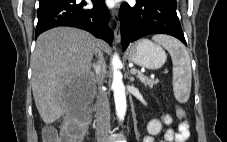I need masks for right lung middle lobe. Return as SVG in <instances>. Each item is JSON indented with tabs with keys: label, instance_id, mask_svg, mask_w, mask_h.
I'll use <instances>...</instances> for the list:
<instances>
[{
	"label": "right lung middle lobe",
	"instance_id": "dd1d6c3e",
	"mask_svg": "<svg viewBox=\"0 0 227 142\" xmlns=\"http://www.w3.org/2000/svg\"><path fill=\"white\" fill-rule=\"evenodd\" d=\"M46 1H49V0H39V3H43V2H46Z\"/></svg>",
	"mask_w": 227,
	"mask_h": 142
}]
</instances>
